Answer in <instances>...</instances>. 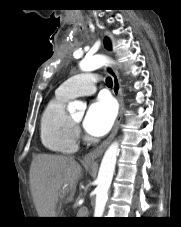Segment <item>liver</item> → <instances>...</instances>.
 <instances>
[{"label":"liver","mask_w":181,"mask_h":227,"mask_svg":"<svg viewBox=\"0 0 181 227\" xmlns=\"http://www.w3.org/2000/svg\"><path fill=\"white\" fill-rule=\"evenodd\" d=\"M82 168L71 156L39 154L30 167V187L39 217H58L60 202L73 200ZM69 194V195H68Z\"/></svg>","instance_id":"6515ba94"}]
</instances>
